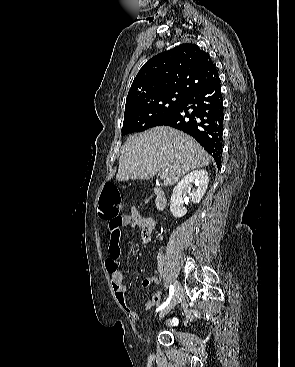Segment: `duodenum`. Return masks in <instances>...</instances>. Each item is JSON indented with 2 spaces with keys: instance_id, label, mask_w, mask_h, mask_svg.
<instances>
[{
  "instance_id": "410a0bca",
  "label": "duodenum",
  "mask_w": 295,
  "mask_h": 367,
  "mask_svg": "<svg viewBox=\"0 0 295 367\" xmlns=\"http://www.w3.org/2000/svg\"><path fill=\"white\" fill-rule=\"evenodd\" d=\"M153 191L155 193V206L157 210L161 211L166 205L164 192L160 188H154Z\"/></svg>"
}]
</instances>
